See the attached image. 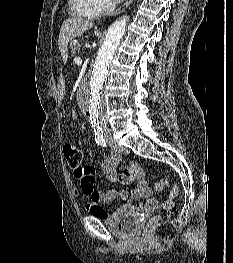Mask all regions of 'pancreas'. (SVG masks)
<instances>
[{
    "label": "pancreas",
    "mask_w": 233,
    "mask_h": 263,
    "mask_svg": "<svg viewBox=\"0 0 233 263\" xmlns=\"http://www.w3.org/2000/svg\"><path fill=\"white\" fill-rule=\"evenodd\" d=\"M80 46L81 45L79 43L71 42L70 43L71 53L76 54L77 52H79Z\"/></svg>",
    "instance_id": "cf45deb5"
}]
</instances>
